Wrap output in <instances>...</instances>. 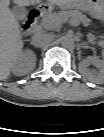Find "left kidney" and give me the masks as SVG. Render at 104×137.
<instances>
[{
  "instance_id": "left-kidney-1",
  "label": "left kidney",
  "mask_w": 104,
  "mask_h": 137,
  "mask_svg": "<svg viewBox=\"0 0 104 137\" xmlns=\"http://www.w3.org/2000/svg\"><path fill=\"white\" fill-rule=\"evenodd\" d=\"M90 63L93 64V65H95L96 67L100 68L101 70H102L103 67H104V62H103V60H100V59H98L97 57H91V56H89V57H87L85 60H83V61L79 64L81 71H82V72H85L86 66H87L88 64H90ZM99 78H100V80H102V79H103V75H102V74L99 75Z\"/></svg>"
}]
</instances>
